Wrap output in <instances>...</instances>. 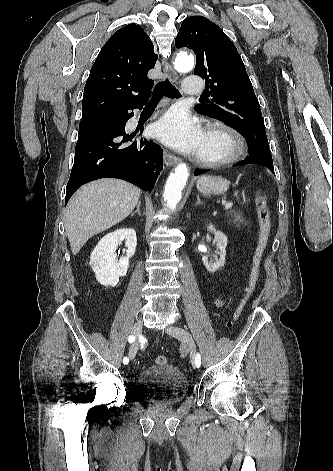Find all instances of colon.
<instances>
[{
	"mask_svg": "<svg viewBox=\"0 0 333 471\" xmlns=\"http://www.w3.org/2000/svg\"><path fill=\"white\" fill-rule=\"evenodd\" d=\"M255 204H256V211H257V218L259 222V235L257 244L253 253L252 257V266L249 275L248 285L246 287L245 295L242 298L241 302L239 303L232 320H230L227 325L228 327H232L234 323L238 320L241 312L243 311L245 305L252 297L255 292L256 284L260 272V265L263 254L267 247L269 234L271 231V219H270V211L267 207L266 201L261 195H256L255 197ZM156 363L159 365H164L167 363V359L164 355H158L155 359Z\"/></svg>",
	"mask_w": 333,
	"mask_h": 471,
	"instance_id": "obj_1",
	"label": "colon"
}]
</instances>
